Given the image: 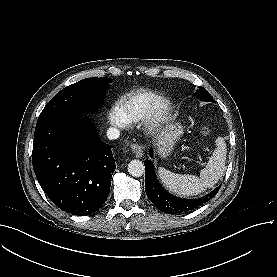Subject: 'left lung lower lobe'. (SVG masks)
<instances>
[{
	"label": "left lung lower lobe",
	"instance_id": "0a47b994",
	"mask_svg": "<svg viewBox=\"0 0 277 277\" xmlns=\"http://www.w3.org/2000/svg\"><path fill=\"white\" fill-rule=\"evenodd\" d=\"M150 156L153 157V151L150 150ZM145 191L149 200L161 211L168 214H177L182 212L191 211L202 204L209 201L216 195L219 188L214 189L212 192L204 197L198 199H182L169 194L159 184L155 173L152 161L145 160Z\"/></svg>",
	"mask_w": 277,
	"mask_h": 277
}]
</instances>
